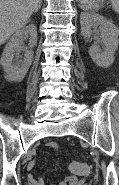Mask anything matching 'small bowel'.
<instances>
[{
	"label": "small bowel",
	"instance_id": "obj_1",
	"mask_svg": "<svg viewBox=\"0 0 119 185\" xmlns=\"http://www.w3.org/2000/svg\"><path fill=\"white\" fill-rule=\"evenodd\" d=\"M48 147L50 148H57V145L55 142H49ZM35 162H31L28 165V170H32L34 168ZM29 180L32 185H45L44 181L37 177L34 174L29 175ZM76 184V177L75 176H68L65 180L61 181L59 185H75Z\"/></svg>",
	"mask_w": 119,
	"mask_h": 185
}]
</instances>
